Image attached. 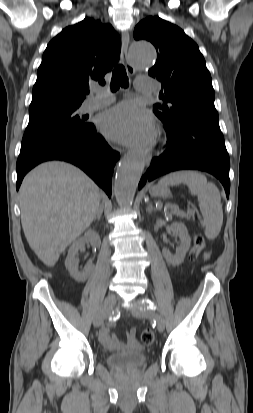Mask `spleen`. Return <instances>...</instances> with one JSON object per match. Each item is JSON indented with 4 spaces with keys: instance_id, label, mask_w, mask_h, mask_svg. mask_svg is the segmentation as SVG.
I'll use <instances>...</instances> for the list:
<instances>
[{
    "instance_id": "spleen-1",
    "label": "spleen",
    "mask_w": 253,
    "mask_h": 413,
    "mask_svg": "<svg viewBox=\"0 0 253 413\" xmlns=\"http://www.w3.org/2000/svg\"><path fill=\"white\" fill-rule=\"evenodd\" d=\"M181 183L186 184L191 194L198 197L204 219L205 236L211 240L215 239L223 223V210L218 188L212 182H207L204 174L193 170L173 172L159 181V185L165 186H175Z\"/></svg>"
}]
</instances>
